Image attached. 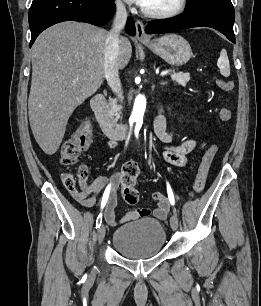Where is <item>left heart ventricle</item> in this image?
<instances>
[{"mask_svg":"<svg viewBox=\"0 0 261 306\" xmlns=\"http://www.w3.org/2000/svg\"><path fill=\"white\" fill-rule=\"evenodd\" d=\"M178 0H147L144 7L153 11H165L174 8Z\"/></svg>","mask_w":261,"mask_h":306,"instance_id":"left-heart-ventricle-1","label":"left heart ventricle"}]
</instances>
